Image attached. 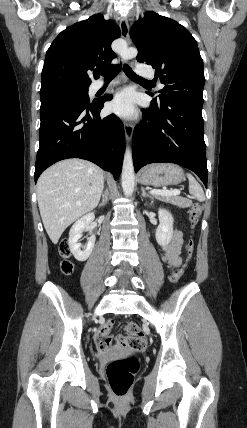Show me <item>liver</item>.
I'll return each instance as SVG.
<instances>
[{
    "instance_id": "obj_1",
    "label": "liver",
    "mask_w": 247,
    "mask_h": 428,
    "mask_svg": "<svg viewBox=\"0 0 247 428\" xmlns=\"http://www.w3.org/2000/svg\"><path fill=\"white\" fill-rule=\"evenodd\" d=\"M103 187V171L85 160H63L41 174L37 182L38 206L54 244L70 224L96 208Z\"/></svg>"
}]
</instances>
